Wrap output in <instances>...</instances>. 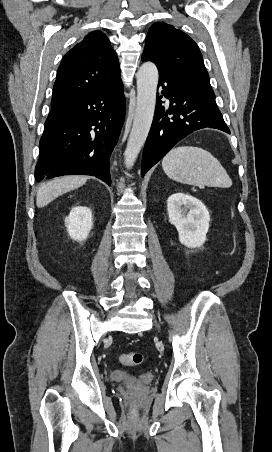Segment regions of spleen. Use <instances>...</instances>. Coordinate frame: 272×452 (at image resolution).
I'll list each match as a JSON object with an SVG mask.
<instances>
[{
  "mask_svg": "<svg viewBox=\"0 0 272 452\" xmlns=\"http://www.w3.org/2000/svg\"><path fill=\"white\" fill-rule=\"evenodd\" d=\"M166 175L176 182L193 186L229 188L232 180L217 158L202 148H173L162 160Z\"/></svg>",
  "mask_w": 272,
  "mask_h": 452,
  "instance_id": "1",
  "label": "spleen"
}]
</instances>
